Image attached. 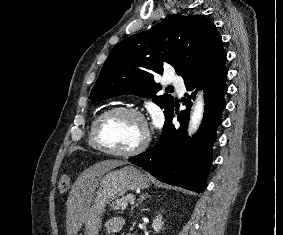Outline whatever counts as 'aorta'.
<instances>
[{"mask_svg": "<svg viewBox=\"0 0 283 235\" xmlns=\"http://www.w3.org/2000/svg\"><path fill=\"white\" fill-rule=\"evenodd\" d=\"M203 113H204V99L202 95H198L195 106L190 116L189 129H188L189 135H192L197 131L202 121Z\"/></svg>", "mask_w": 283, "mask_h": 235, "instance_id": "762f6f07", "label": "aorta"}]
</instances>
